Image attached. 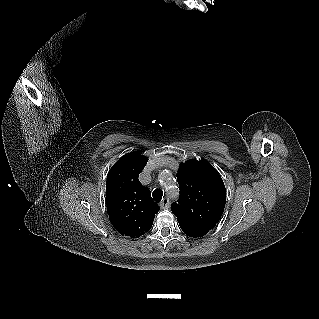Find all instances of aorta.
<instances>
[{
  "label": "aorta",
  "mask_w": 319,
  "mask_h": 319,
  "mask_svg": "<svg viewBox=\"0 0 319 319\" xmlns=\"http://www.w3.org/2000/svg\"><path fill=\"white\" fill-rule=\"evenodd\" d=\"M159 179L163 184H166L171 179V175L170 173H163L159 176Z\"/></svg>",
  "instance_id": "aorta-1"
}]
</instances>
